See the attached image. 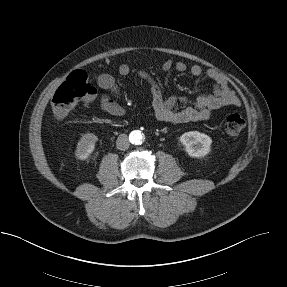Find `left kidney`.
I'll return each mask as SVG.
<instances>
[{"label":"left kidney","instance_id":"5707ae66","mask_svg":"<svg viewBox=\"0 0 287 287\" xmlns=\"http://www.w3.org/2000/svg\"><path fill=\"white\" fill-rule=\"evenodd\" d=\"M180 142L190 157L201 158L211 151L212 139L198 131H190L180 136Z\"/></svg>","mask_w":287,"mask_h":287}]
</instances>
